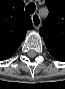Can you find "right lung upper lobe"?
Returning a JSON list of instances; mask_svg holds the SVG:
<instances>
[{"label": "right lung upper lobe", "instance_id": "obj_1", "mask_svg": "<svg viewBox=\"0 0 65 89\" xmlns=\"http://www.w3.org/2000/svg\"><path fill=\"white\" fill-rule=\"evenodd\" d=\"M30 29L32 20L24 13L22 0H0V60L16 52Z\"/></svg>", "mask_w": 65, "mask_h": 89}]
</instances>
